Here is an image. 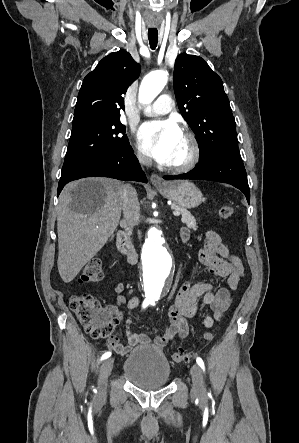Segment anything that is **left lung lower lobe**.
<instances>
[{"instance_id":"obj_1","label":"left lung lower lobe","mask_w":299,"mask_h":443,"mask_svg":"<svg viewBox=\"0 0 299 443\" xmlns=\"http://www.w3.org/2000/svg\"><path fill=\"white\" fill-rule=\"evenodd\" d=\"M166 180L199 179L228 183L240 189L250 203V190L247 174L241 158L229 155H215L199 161L196 167L186 174L166 175Z\"/></svg>"}]
</instances>
